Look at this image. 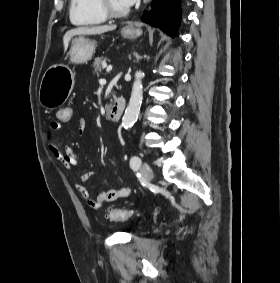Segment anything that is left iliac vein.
<instances>
[{
  "label": "left iliac vein",
  "instance_id": "obj_1",
  "mask_svg": "<svg viewBox=\"0 0 280 283\" xmlns=\"http://www.w3.org/2000/svg\"><path fill=\"white\" fill-rule=\"evenodd\" d=\"M141 175L145 182L150 183L154 177L151 167L147 163L141 166Z\"/></svg>",
  "mask_w": 280,
  "mask_h": 283
}]
</instances>
